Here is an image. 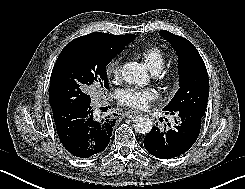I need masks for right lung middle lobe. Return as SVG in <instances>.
Here are the masks:
<instances>
[{"label":"right lung middle lobe","mask_w":245,"mask_h":189,"mask_svg":"<svg viewBox=\"0 0 245 189\" xmlns=\"http://www.w3.org/2000/svg\"><path fill=\"white\" fill-rule=\"evenodd\" d=\"M116 55L89 43H68L52 70L49 89L51 108L91 103L88 90L93 85L109 87L106 66Z\"/></svg>","instance_id":"1"}]
</instances>
